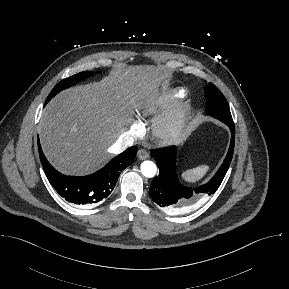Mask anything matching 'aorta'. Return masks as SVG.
<instances>
[{
  "label": "aorta",
  "mask_w": 289,
  "mask_h": 289,
  "mask_svg": "<svg viewBox=\"0 0 289 289\" xmlns=\"http://www.w3.org/2000/svg\"><path fill=\"white\" fill-rule=\"evenodd\" d=\"M157 172V167L152 161H144L141 164V173L148 178L154 177Z\"/></svg>",
  "instance_id": "obj_1"
}]
</instances>
